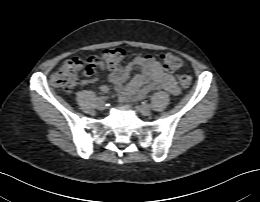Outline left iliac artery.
<instances>
[{
	"mask_svg": "<svg viewBox=\"0 0 260 202\" xmlns=\"http://www.w3.org/2000/svg\"><path fill=\"white\" fill-rule=\"evenodd\" d=\"M142 104H143V105H147L148 102L145 100V101L142 102Z\"/></svg>",
	"mask_w": 260,
	"mask_h": 202,
	"instance_id": "obj_1",
	"label": "left iliac artery"
}]
</instances>
